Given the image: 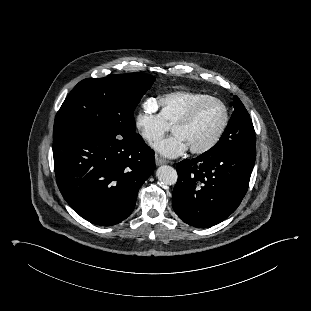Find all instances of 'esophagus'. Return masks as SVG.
Listing matches in <instances>:
<instances>
[{
    "mask_svg": "<svg viewBox=\"0 0 311 311\" xmlns=\"http://www.w3.org/2000/svg\"><path fill=\"white\" fill-rule=\"evenodd\" d=\"M155 161H156V165H157V166H160V165L169 163L168 160L163 159V158H161V157H159V156H157V155L155 156Z\"/></svg>",
    "mask_w": 311,
    "mask_h": 311,
    "instance_id": "34e87169",
    "label": "esophagus"
}]
</instances>
